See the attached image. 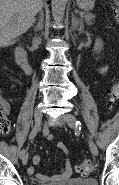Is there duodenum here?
Listing matches in <instances>:
<instances>
[{"label": "duodenum", "instance_id": "duodenum-1", "mask_svg": "<svg viewBox=\"0 0 119 185\" xmlns=\"http://www.w3.org/2000/svg\"><path fill=\"white\" fill-rule=\"evenodd\" d=\"M15 57L18 65L24 70L26 74L30 75L33 72V68L29 63L27 52L22 45H18L16 47Z\"/></svg>", "mask_w": 119, "mask_h": 185}]
</instances>
